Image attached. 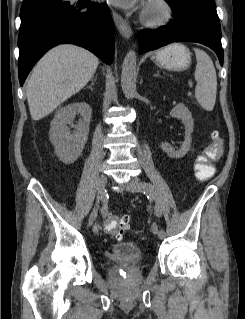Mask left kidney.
I'll return each mask as SVG.
<instances>
[{"instance_id":"obj_1","label":"left kidney","mask_w":245,"mask_h":319,"mask_svg":"<svg viewBox=\"0 0 245 319\" xmlns=\"http://www.w3.org/2000/svg\"><path fill=\"white\" fill-rule=\"evenodd\" d=\"M171 117L180 119L185 126V137L184 141L179 150H175L170 144L163 143L162 148L171 158H182L187 154L191 148L192 138L191 134L193 132L194 120L192 118L191 112L183 104H177L170 112Z\"/></svg>"}]
</instances>
